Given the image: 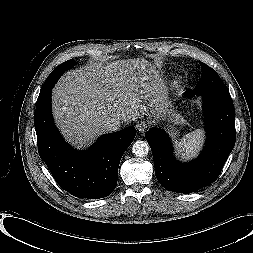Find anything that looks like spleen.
Listing matches in <instances>:
<instances>
[{"instance_id":"1","label":"spleen","mask_w":253,"mask_h":253,"mask_svg":"<svg viewBox=\"0 0 253 253\" xmlns=\"http://www.w3.org/2000/svg\"><path fill=\"white\" fill-rule=\"evenodd\" d=\"M203 140V132L197 129L186 134L180 142H176L177 155L183 159H190L195 156Z\"/></svg>"}]
</instances>
